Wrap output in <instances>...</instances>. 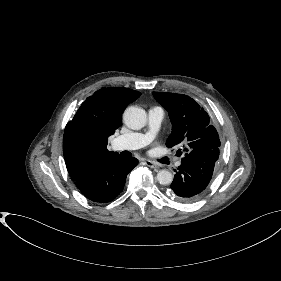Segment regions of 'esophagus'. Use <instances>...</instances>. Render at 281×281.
<instances>
[{"label": "esophagus", "instance_id": "obj_1", "mask_svg": "<svg viewBox=\"0 0 281 281\" xmlns=\"http://www.w3.org/2000/svg\"><path fill=\"white\" fill-rule=\"evenodd\" d=\"M148 167L151 168H159V165L157 163H154L153 161L150 160H145L144 162Z\"/></svg>", "mask_w": 281, "mask_h": 281}]
</instances>
